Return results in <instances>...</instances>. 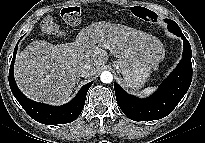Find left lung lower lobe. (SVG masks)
<instances>
[{
    "instance_id": "obj_1",
    "label": "left lung lower lobe",
    "mask_w": 205,
    "mask_h": 143,
    "mask_svg": "<svg viewBox=\"0 0 205 143\" xmlns=\"http://www.w3.org/2000/svg\"><path fill=\"white\" fill-rule=\"evenodd\" d=\"M168 29L183 39V58L158 91L146 99L126 93L114 83L117 103L123 113L134 121H151L166 117L177 106L190 87L192 80L191 46L181 29L173 20Z\"/></svg>"
}]
</instances>
